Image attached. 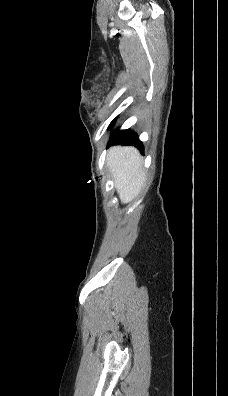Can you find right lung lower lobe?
<instances>
[{"label":"right lung lower lobe","mask_w":228,"mask_h":396,"mask_svg":"<svg viewBox=\"0 0 228 396\" xmlns=\"http://www.w3.org/2000/svg\"><path fill=\"white\" fill-rule=\"evenodd\" d=\"M115 120L112 121L111 125ZM121 144V145H133L143 151L144 147L138 136L130 130L115 131L109 141L108 145Z\"/></svg>","instance_id":"obj_1"}]
</instances>
